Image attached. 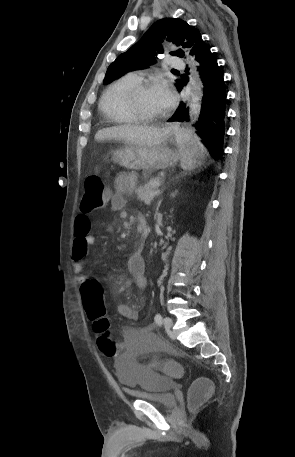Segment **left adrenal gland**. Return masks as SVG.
Masks as SVG:
<instances>
[{
	"mask_svg": "<svg viewBox=\"0 0 295 457\" xmlns=\"http://www.w3.org/2000/svg\"><path fill=\"white\" fill-rule=\"evenodd\" d=\"M177 194V191L172 193L171 196L174 197Z\"/></svg>",
	"mask_w": 295,
	"mask_h": 457,
	"instance_id": "a2214340",
	"label": "left adrenal gland"
}]
</instances>
